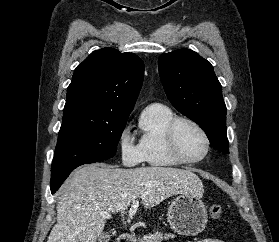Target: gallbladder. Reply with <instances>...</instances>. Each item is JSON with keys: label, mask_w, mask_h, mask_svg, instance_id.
Segmentation results:
<instances>
[{"label": "gallbladder", "mask_w": 279, "mask_h": 242, "mask_svg": "<svg viewBox=\"0 0 279 242\" xmlns=\"http://www.w3.org/2000/svg\"><path fill=\"white\" fill-rule=\"evenodd\" d=\"M110 237V232H104L99 236V242H109Z\"/></svg>", "instance_id": "gallbladder-1"}]
</instances>
